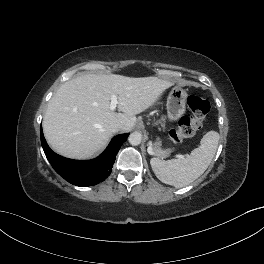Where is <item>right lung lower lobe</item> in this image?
Here are the masks:
<instances>
[{
    "label": "right lung lower lobe",
    "mask_w": 264,
    "mask_h": 264,
    "mask_svg": "<svg viewBox=\"0 0 264 264\" xmlns=\"http://www.w3.org/2000/svg\"><path fill=\"white\" fill-rule=\"evenodd\" d=\"M128 135L115 136L99 157L86 161L72 160L54 153L47 145L42 129L41 144L51 166L61 177L76 186H93L110 175L117 152Z\"/></svg>",
    "instance_id": "right-lung-lower-lobe-1"
}]
</instances>
